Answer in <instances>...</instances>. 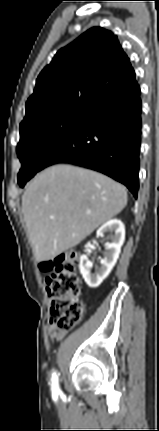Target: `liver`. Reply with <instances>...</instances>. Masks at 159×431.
Returning a JSON list of instances; mask_svg holds the SVG:
<instances>
[{"label":"liver","instance_id":"liver-1","mask_svg":"<svg viewBox=\"0 0 159 431\" xmlns=\"http://www.w3.org/2000/svg\"><path fill=\"white\" fill-rule=\"evenodd\" d=\"M127 204L124 186L95 171L59 164L26 187L22 212L38 262L75 247Z\"/></svg>","mask_w":159,"mask_h":431}]
</instances>
